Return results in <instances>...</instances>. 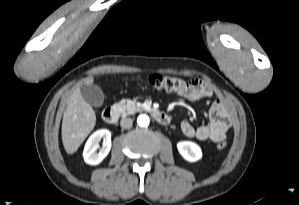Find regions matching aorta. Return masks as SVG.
<instances>
[{"instance_id": "obj_1", "label": "aorta", "mask_w": 299, "mask_h": 205, "mask_svg": "<svg viewBox=\"0 0 299 205\" xmlns=\"http://www.w3.org/2000/svg\"><path fill=\"white\" fill-rule=\"evenodd\" d=\"M150 119L146 114H141L137 118V123L140 127H147L149 125Z\"/></svg>"}]
</instances>
